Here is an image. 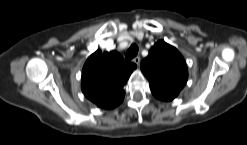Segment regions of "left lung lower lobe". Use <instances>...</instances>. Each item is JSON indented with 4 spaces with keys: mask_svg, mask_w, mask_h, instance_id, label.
Returning a JSON list of instances; mask_svg holds the SVG:
<instances>
[{
    "mask_svg": "<svg viewBox=\"0 0 247 145\" xmlns=\"http://www.w3.org/2000/svg\"><path fill=\"white\" fill-rule=\"evenodd\" d=\"M153 95L157 98V99H160V100H163V101H171L172 98L171 96L169 95H166V94H161V93H153Z\"/></svg>",
    "mask_w": 247,
    "mask_h": 145,
    "instance_id": "1",
    "label": "left lung lower lobe"
}]
</instances>
